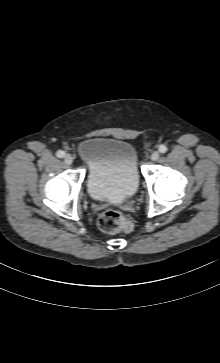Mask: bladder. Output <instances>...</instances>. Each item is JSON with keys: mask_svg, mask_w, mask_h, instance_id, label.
Segmentation results:
<instances>
[{"mask_svg": "<svg viewBox=\"0 0 220 363\" xmlns=\"http://www.w3.org/2000/svg\"><path fill=\"white\" fill-rule=\"evenodd\" d=\"M77 155L87 169L86 188L93 199L123 201L137 192L139 158L129 141L88 138L78 144Z\"/></svg>", "mask_w": 220, "mask_h": 363, "instance_id": "bladder-1", "label": "bladder"}]
</instances>
